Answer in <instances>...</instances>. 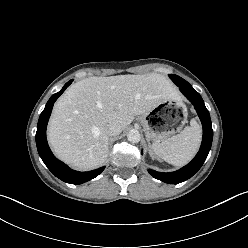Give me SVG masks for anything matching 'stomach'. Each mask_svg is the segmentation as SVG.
Instances as JSON below:
<instances>
[{"instance_id": "0dacf381", "label": "stomach", "mask_w": 248, "mask_h": 248, "mask_svg": "<svg viewBox=\"0 0 248 248\" xmlns=\"http://www.w3.org/2000/svg\"><path fill=\"white\" fill-rule=\"evenodd\" d=\"M187 121V109L178 98L164 99L151 111L141 116L148 142L167 140ZM151 146V148H152Z\"/></svg>"}]
</instances>
